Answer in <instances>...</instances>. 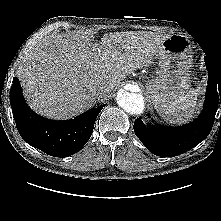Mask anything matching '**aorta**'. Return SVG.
Returning a JSON list of instances; mask_svg holds the SVG:
<instances>
[{
	"mask_svg": "<svg viewBox=\"0 0 221 221\" xmlns=\"http://www.w3.org/2000/svg\"><path fill=\"white\" fill-rule=\"evenodd\" d=\"M116 100L117 104L129 114L138 115L144 110V99L139 93L120 90L117 93Z\"/></svg>",
	"mask_w": 221,
	"mask_h": 221,
	"instance_id": "obj_1",
	"label": "aorta"
}]
</instances>
